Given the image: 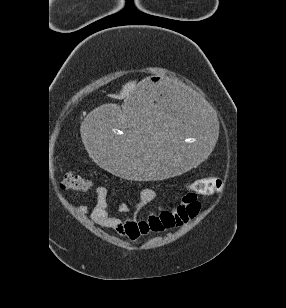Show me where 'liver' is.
<instances>
[{
	"label": "liver",
	"instance_id": "6515ba94",
	"mask_svg": "<svg viewBox=\"0 0 286 308\" xmlns=\"http://www.w3.org/2000/svg\"><path fill=\"white\" fill-rule=\"evenodd\" d=\"M136 86V81H131V82H128L126 83L125 85H123L122 87V90L120 92L119 95H114L115 98H118V99H123V98H127L129 93L135 88ZM117 111L119 112V116L122 120H125V118L127 117L126 114V104H125V109H124V112H120L119 109H117Z\"/></svg>",
	"mask_w": 286,
	"mask_h": 308
}]
</instances>
